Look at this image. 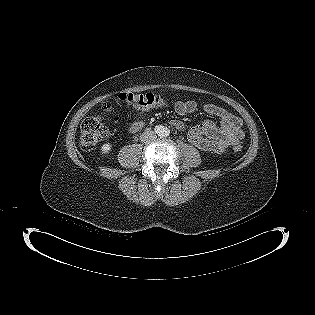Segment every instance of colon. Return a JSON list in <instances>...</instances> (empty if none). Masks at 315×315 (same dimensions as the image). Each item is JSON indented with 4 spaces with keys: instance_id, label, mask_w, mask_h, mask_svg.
Segmentation results:
<instances>
[{
    "instance_id": "5ec220e1",
    "label": "colon",
    "mask_w": 315,
    "mask_h": 315,
    "mask_svg": "<svg viewBox=\"0 0 315 315\" xmlns=\"http://www.w3.org/2000/svg\"><path fill=\"white\" fill-rule=\"evenodd\" d=\"M119 99L128 104L141 108L162 107L167 101L161 96L153 93H121ZM108 109V105L105 106ZM109 135L105 119L101 115L88 117L81 125L80 146L83 150H90ZM234 150L239 152L241 145H235Z\"/></svg>"
}]
</instances>
